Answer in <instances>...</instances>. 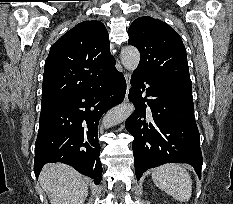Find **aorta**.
I'll use <instances>...</instances> for the list:
<instances>
[{"instance_id": "1", "label": "aorta", "mask_w": 233, "mask_h": 204, "mask_svg": "<svg viewBox=\"0 0 233 204\" xmlns=\"http://www.w3.org/2000/svg\"><path fill=\"white\" fill-rule=\"evenodd\" d=\"M120 57L123 66L129 71H134L140 62V53L137 48L133 46L123 48ZM134 109L131 103H124L114 107L103 118L104 128L108 129L125 121L132 114Z\"/></svg>"}]
</instances>
